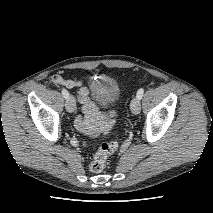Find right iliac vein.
<instances>
[{
	"label": "right iliac vein",
	"mask_w": 213,
	"mask_h": 213,
	"mask_svg": "<svg viewBox=\"0 0 213 213\" xmlns=\"http://www.w3.org/2000/svg\"><path fill=\"white\" fill-rule=\"evenodd\" d=\"M65 108L70 113L75 111L76 102H75L74 97L70 96L69 98H67V100L65 102Z\"/></svg>",
	"instance_id": "1"
}]
</instances>
